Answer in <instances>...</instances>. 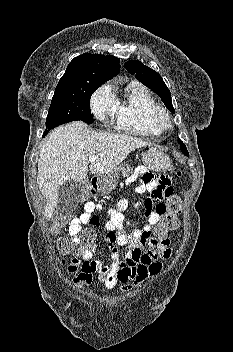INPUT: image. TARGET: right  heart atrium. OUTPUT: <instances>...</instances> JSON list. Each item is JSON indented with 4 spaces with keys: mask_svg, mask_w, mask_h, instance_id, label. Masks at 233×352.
Here are the masks:
<instances>
[{
    "mask_svg": "<svg viewBox=\"0 0 233 352\" xmlns=\"http://www.w3.org/2000/svg\"><path fill=\"white\" fill-rule=\"evenodd\" d=\"M91 111L100 122L111 124L117 113L118 100L109 85L101 86L92 95Z\"/></svg>",
    "mask_w": 233,
    "mask_h": 352,
    "instance_id": "d8ad5b80",
    "label": "right heart atrium"
}]
</instances>
